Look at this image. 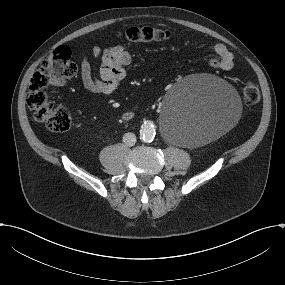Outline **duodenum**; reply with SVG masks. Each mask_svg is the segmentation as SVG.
<instances>
[{"label":"duodenum","instance_id":"obj_1","mask_svg":"<svg viewBox=\"0 0 285 285\" xmlns=\"http://www.w3.org/2000/svg\"><path fill=\"white\" fill-rule=\"evenodd\" d=\"M134 117V112L133 111H126L122 114V119L124 121H129Z\"/></svg>","mask_w":285,"mask_h":285}]
</instances>
